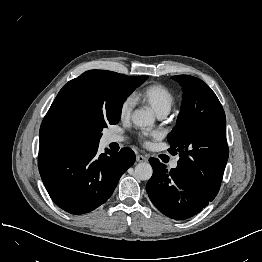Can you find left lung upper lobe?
<instances>
[{
	"mask_svg": "<svg viewBox=\"0 0 262 262\" xmlns=\"http://www.w3.org/2000/svg\"><path fill=\"white\" fill-rule=\"evenodd\" d=\"M171 78L182 86L183 101L177 124L168 135L169 150L179 152L177 168L215 198L229 156L223 107L202 80L189 75Z\"/></svg>",
	"mask_w": 262,
	"mask_h": 262,
	"instance_id": "1",
	"label": "left lung upper lobe"
}]
</instances>
